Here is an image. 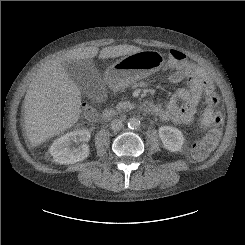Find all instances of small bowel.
Wrapping results in <instances>:
<instances>
[{"label": "small bowel", "mask_w": 245, "mask_h": 245, "mask_svg": "<svg viewBox=\"0 0 245 245\" xmlns=\"http://www.w3.org/2000/svg\"><path fill=\"white\" fill-rule=\"evenodd\" d=\"M203 78H208L213 85L208 71L198 64L186 61L177 66L169 80L172 84H180L186 81V87L177 90L165 106L155 104V109L149 112L182 126L189 125L193 120L198 104L205 94L202 86Z\"/></svg>", "instance_id": "c3829d8e"}]
</instances>
